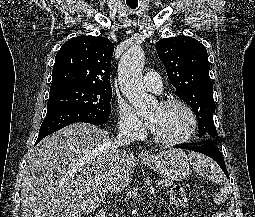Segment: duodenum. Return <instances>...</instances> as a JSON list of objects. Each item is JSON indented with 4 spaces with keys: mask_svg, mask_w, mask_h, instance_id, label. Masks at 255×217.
Segmentation results:
<instances>
[{
    "mask_svg": "<svg viewBox=\"0 0 255 217\" xmlns=\"http://www.w3.org/2000/svg\"><path fill=\"white\" fill-rule=\"evenodd\" d=\"M93 217H106V213L104 211H99Z\"/></svg>",
    "mask_w": 255,
    "mask_h": 217,
    "instance_id": "duodenum-1",
    "label": "duodenum"
}]
</instances>
